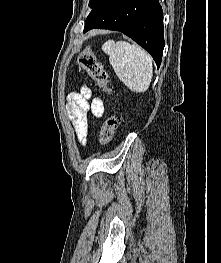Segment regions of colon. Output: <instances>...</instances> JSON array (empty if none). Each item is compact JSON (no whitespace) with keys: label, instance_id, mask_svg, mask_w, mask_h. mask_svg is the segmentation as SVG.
Listing matches in <instances>:
<instances>
[{"label":"colon","instance_id":"1","mask_svg":"<svg viewBox=\"0 0 221 263\" xmlns=\"http://www.w3.org/2000/svg\"><path fill=\"white\" fill-rule=\"evenodd\" d=\"M78 63L80 67L89 74L98 87L106 92H110L107 72L92 50H84L78 58ZM117 124L118 118L116 115H110L106 118L99 136V141L102 145H106L113 140Z\"/></svg>","mask_w":221,"mask_h":263}]
</instances>
